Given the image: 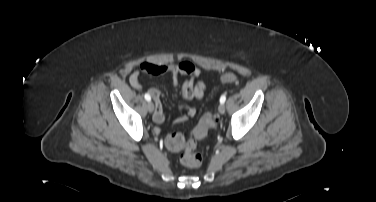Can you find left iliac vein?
Masks as SVG:
<instances>
[{
    "label": "left iliac vein",
    "mask_w": 376,
    "mask_h": 202,
    "mask_svg": "<svg viewBox=\"0 0 376 202\" xmlns=\"http://www.w3.org/2000/svg\"><path fill=\"white\" fill-rule=\"evenodd\" d=\"M218 111H219L220 114H224L225 113V105L221 103L218 107Z\"/></svg>",
    "instance_id": "4c4485c4"
}]
</instances>
